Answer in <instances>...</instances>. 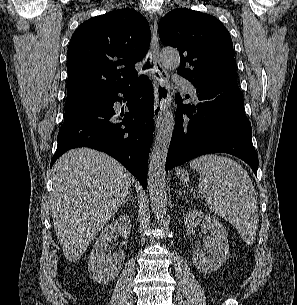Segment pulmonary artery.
<instances>
[{
    "mask_svg": "<svg viewBox=\"0 0 297 305\" xmlns=\"http://www.w3.org/2000/svg\"><path fill=\"white\" fill-rule=\"evenodd\" d=\"M175 81L181 85H183V87L186 89V91L193 97L196 96V88L194 87V85L192 83H190L189 81H187L184 78L181 77H177L175 79Z\"/></svg>",
    "mask_w": 297,
    "mask_h": 305,
    "instance_id": "obj_1",
    "label": "pulmonary artery"
}]
</instances>
